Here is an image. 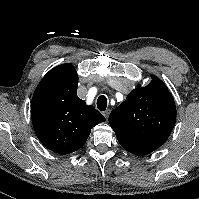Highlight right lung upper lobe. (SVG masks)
<instances>
[{"mask_svg":"<svg viewBox=\"0 0 199 199\" xmlns=\"http://www.w3.org/2000/svg\"><path fill=\"white\" fill-rule=\"evenodd\" d=\"M77 85L74 66L61 64L42 78L31 101V118L38 139L58 154L81 148L91 129L105 121L101 113L77 96Z\"/></svg>","mask_w":199,"mask_h":199,"instance_id":"1","label":"right lung upper lobe"}]
</instances>
